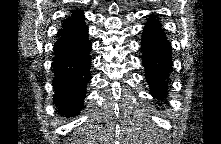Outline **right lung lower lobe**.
Returning a JSON list of instances; mask_svg holds the SVG:
<instances>
[{
	"label": "right lung lower lobe",
	"instance_id": "98d812e1",
	"mask_svg": "<svg viewBox=\"0 0 221 144\" xmlns=\"http://www.w3.org/2000/svg\"><path fill=\"white\" fill-rule=\"evenodd\" d=\"M87 36L84 23L58 36L54 44L53 101L57 111L66 117L75 116L82 109L87 83L91 79L89 52L92 47Z\"/></svg>",
	"mask_w": 221,
	"mask_h": 144
}]
</instances>
